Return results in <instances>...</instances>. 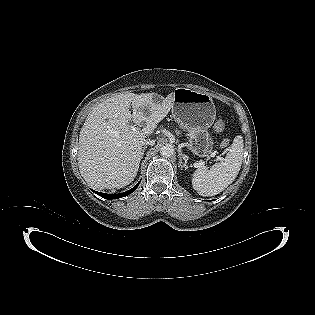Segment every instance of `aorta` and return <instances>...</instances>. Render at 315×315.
<instances>
[{"label":"aorta","instance_id":"aorta-1","mask_svg":"<svg viewBox=\"0 0 315 315\" xmlns=\"http://www.w3.org/2000/svg\"><path fill=\"white\" fill-rule=\"evenodd\" d=\"M173 153H174V147L171 144H166L162 146L160 149V154L163 157H170L173 155Z\"/></svg>","mask_w":315,"mask_h":315}]
</instances>
